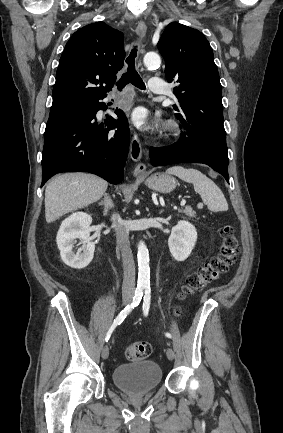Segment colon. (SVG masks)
I'll list each match as a JSON object with an SVG mask.
<instances>
[{"label": "colon", "instance_id": "1", "mask_svg": "<svg viewBox=\"0 0 283 433\" xmlns=\"http://www.w3.org/2000/svg\"><path fill=\"white\" fill-rule=\"evenodd\" d=\"M221 245L219 253L193 272L182 286L180 300H186L204 288L208 283L228 271L239 254L240 246L232 226L220 228ZM178 310L177 313H179ZM152 348L148 342L138 341L129 344L125 354L129 360L139 361L151 354Z\"/></svg>", "mask_w": 283, "mask_h": 433}]
</instances>
